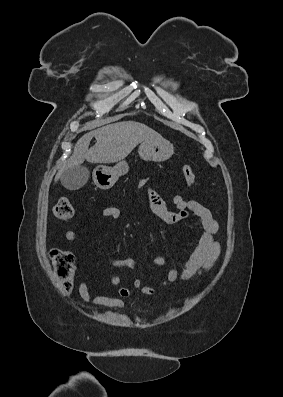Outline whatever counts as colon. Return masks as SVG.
<instances>
[{"label":"colon","mask_w":283,"mask_h":397,"mask_svg":"<svg viewBox=\"0 0 283 397\" xmlns=\"http://www.w3.org/2000/svg\"><path fill=\"white\" fill-rule=\"evenodd\" d=\"M182 174L187 185L193 187L196 182V175L192 167L188 164L183 165ZM53 214L57 219L69 222L73 219L75 211L70 201L63 198L54 206ZM50 258L62 291L66 294L70 293L73 289L75 273L73 254L66 250L54 249L50 252Z\"/></svg>","instance_id":"1"}]
</instances>
